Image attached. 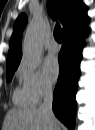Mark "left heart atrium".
<instances>
[{
    "instance_id": "39dd6f15",
    "label": "left heart atrium",
    "mask_w": 95,
    "mask_h": 130,
    "mask_svg": "<svg viewBox=\"0 0 95 130\" xmlns=\"http://www.w3.org/2000/svg\"><path fill=\"white\" fill-rule=\"evenodd\" d=\"M44 69L47 77L51 81H55L60 73V65L55 56H49L44 61Z\"/></svg>"
}]
</instances>
